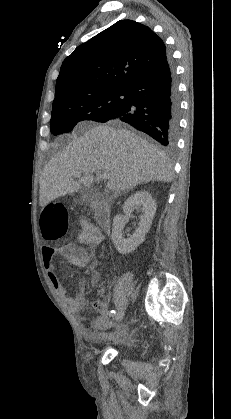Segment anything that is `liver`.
<instances>
[{
	"instance_id": "6515ba94",
	"label": "liver",
	"mask_w": 231,
	"mask_h": 419,
	"mask_svg": "<svg viewBox=\"0 0 231 419\" xmlns=\"http://www.w3.org/2000/svg\"><path fill=\"white\" fill-rule=\"evenodd\" d=\"M74 172L83 176L74 180ZM93 172L107 174L105 186L115 192L150 181L170 182L173 177L168 157L157 146L130 130L97 125L73 139L45 166L39 181L40 205L89 188Z\"/></svg>"
}]
</instances>
